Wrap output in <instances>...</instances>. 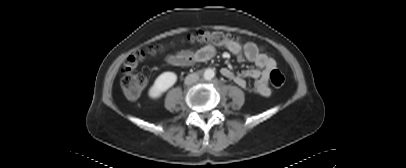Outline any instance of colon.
Returning <instances> with one entry per match:
<instances>
[{
	"label": "colon",
	"mask_w": 406,
	"mask_h": 168,
	"mask_svg": "<svg viewBox=\"0 0 406 168\" xmlns=\"http://www.w3.org/2000/svg\"><path fill=\"white\" fill-rule=\"evenodd\" d=\"M190 43H198L204 45H213L218 47H228L239 43V39L229 33L222 31H198L191 34L186 39ZM155 53L154 47H148L145 51L136 52L130 56L125 62L122 69L121 87L128 99H137L144 90L147 80L146 78L137 73L135 70L138 63L144 58L146 54ZM272 85L276 88L284 84V76L278 69H273L269 75Z\"/></svg>",
	"instance_id": "colon-1"
}]
</instances>
